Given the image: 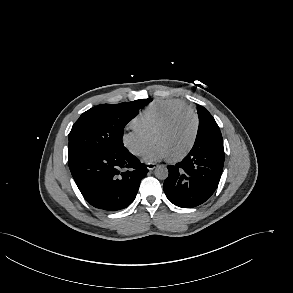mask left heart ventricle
<instances>
[{"label":"left heart ventricle","mask_w":293,"mask_h":293,"mask_svg":"<svg viewBox=\"0 0 293 293\" xmlns=\"http://www.w3.org/2000/svg\"><path fill=\"white\" fill-rule=\"evenodd\" d=\"M194 132V120L191 115L178 118L169 128L158 133L154 143L161 144L169 157L182 153L190 144Z\"/></svg>","instance_id":"obj_1"}]
</instances>
